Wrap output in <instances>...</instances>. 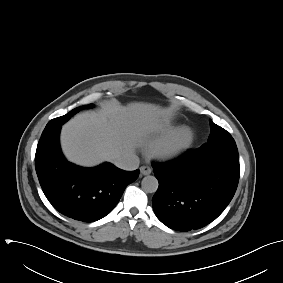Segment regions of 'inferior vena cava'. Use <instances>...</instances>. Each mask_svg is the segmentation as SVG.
Instances as JSON below:
<instances>
[{
	"instance_id": "obj_1",
	"label": "inferior vena cava",
	"mask_w": 283,
	"mask_h": 283,
	"mask_svg": "<svg viewBox=\"0 0 283 283\" xmlns=\"http://www.w3.org/2000/svg\"><path fill=\"white\" fill-rule=\"evenodd\" d=\"M139 158L134 153H126L118 157L114 164L123 170L132 171L139 167Z\"/></svg>"
}]
</instances>
